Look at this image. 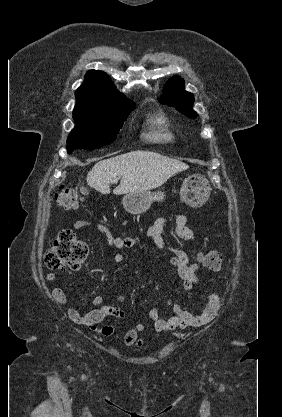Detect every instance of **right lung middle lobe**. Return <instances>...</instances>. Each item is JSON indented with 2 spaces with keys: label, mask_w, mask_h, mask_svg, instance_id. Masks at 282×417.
<instances>
[{
  "label": "right lung middle lobe",
  "mask_w": 282,
  "mask_h": 417,
  "mask_svg": "<svg viewBox=\"0 0 282 417\" xmlns=\"http://www.w3.org/2000/svg\"><path fill=\"white\" fill-rule=\"evenodd\" d=\"M75 128L67 139L70 154L76 148L93 150L112 143L135 103L125 97L77 98Z\"/></svg>",
  "instance_id": "dd1d6c3e"
}]
</instances>
